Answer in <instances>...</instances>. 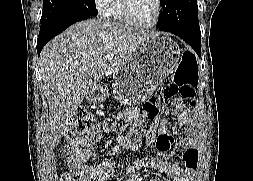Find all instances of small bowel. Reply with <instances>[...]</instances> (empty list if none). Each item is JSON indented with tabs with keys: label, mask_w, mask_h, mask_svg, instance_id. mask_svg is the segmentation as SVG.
Here are the masks:
<instances>
[{
	"label": "small bowel",
	"mask_w": 253,
	"mask_h": 181,
	"mask_svg": "<svg viewBox=\"0 0 253 181\" xmlns=\"http://www.w3.org/2000/svg\"><path fill=\"white\" fill-rule=\"evenodd\" d=\"M124 118L134 122L129 135H125L118 130L116 122L111 119L103 123V132L105 134H113L120 145L128 148H136L142 137H145L148 143L156 141L164 155L171 152L173 144L169 119H175V129L189 125L187 136L179 143V146L183 148L182 164L159 158L149 159L145 163L132 162L127 166L129 174L127 181L136 180V171L142 164L158 173L167 175L172 181H192L199 162L197 141L199 123L194 107L187 108L182 97L175 98L173 107L165 110L164 118L160 121L157 132L147 131L144 128V118L138 110L125 111ZM66 151L70 168L74 174L82 176L84 181H109L116 172L117 163L114 160H108L98 165L89 163L97 158V154L94 151L83 150L77 147ZM150 181L157 180L152 179Z\"/></svg>",
	"instance_id": "1"
}]
</instances>
